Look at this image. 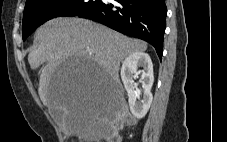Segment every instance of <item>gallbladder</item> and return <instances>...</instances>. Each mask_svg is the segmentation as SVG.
<instances>
[{
  "mask_svg": "<svg viewBox=\"0 0 227 142\" xmlns=\"http://www.w3.org/2000/svg\"><path fill=\"white\" fill-rule=\"evenodd\" d=\"M51 114L56 120L60 121L62 119V113L59 110L52 109Z\"/></svg>",
  "mask_w": 227,
  "mask_h": 142,
  "instance_id": "bac80fb5",
  "label": "gallbladder"
}]
</instances>
